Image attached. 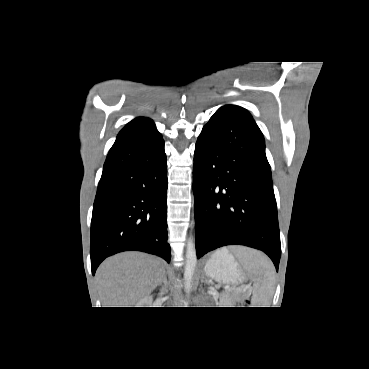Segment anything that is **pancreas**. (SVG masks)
Masks as SVG:
<instances>
[{"label":"pancreas","instance_id":"pancreas-1","mask_svg":"<svg viewBox=\"0 0 369 369\" xmlns=\"http://www.w3.org/2000/svg\"><path fill=\"white\" fill-rule=\"evenodd\" d=\"M228 294H231L230 296V302L232 303L233 301L239 299L240 297V292L239 291H236V292H231V291H228L227 292Z\"/></svg>","mask_w":369,"mask_h":369}]
</instances>
